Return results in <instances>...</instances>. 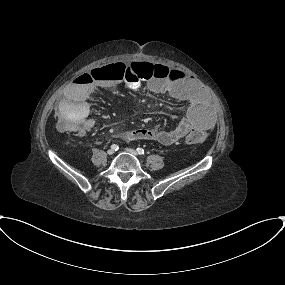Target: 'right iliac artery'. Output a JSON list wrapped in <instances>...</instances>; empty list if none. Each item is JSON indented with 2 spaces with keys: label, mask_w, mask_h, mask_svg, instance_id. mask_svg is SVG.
<instances>
[{
  "label": "right iliac artery",
  "mask_w": 285,
  "mask_h": 285,
  "mask_svg": "<svg viewBox=\"0 0 285 285\" xmlns=\"http://www.w3.org/2000/svg\"><path fill=\"white\" fill-rule=\"evenodd\" d=\"M118 145H116V144H113V145H111V149H113V150H115V151H117L118 150Z\"/></svg>",
  "instance_id": "right-iliac-artery-1"
}]
</instances>
